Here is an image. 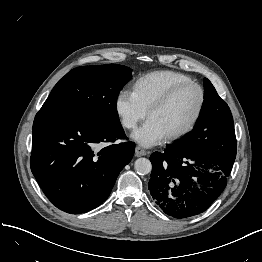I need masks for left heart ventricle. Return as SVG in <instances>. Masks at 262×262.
<instances>
[{
  "instance_id": "left-heart-ventricle-1",
  "label": "left heart ventricle",
  "mask_w": 262,
  "mask_h": 262,
  "mask_svg": "<svg viewBox=\"0 0 262 262\" xmlns=\"http://www.w3.org/2000/svg\"><path fill=\"white\" fill-rule=\"evenodd\" d=\"M199 103L194 87L181 90L164 108L154 112L153 119L166 136L183 129L192 119Z\"/></svg>"
}]
</instances>
